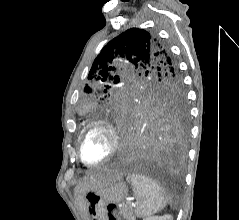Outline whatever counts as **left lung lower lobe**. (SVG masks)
Returning <instances> with one entry per match:
<instances>
[{
  "instance_id": "left-lung-lower-lobe-1",
  "label": "left lung lower lobe",
  "mask_w": 239,
  "mask_h": 220,
  "mask_svg": "<svg viewBox=\"0 0 239 220\" xmlns=\"http://www.w3.org/2000/svg\"><path fill=\"white\" fill-rule=\"evenodd\" d=\"M123 136L120 160L129 164H170L184 161L187 139V110L159 113L136 110L108 114Z\"/></svg>"
}]
</instances>
